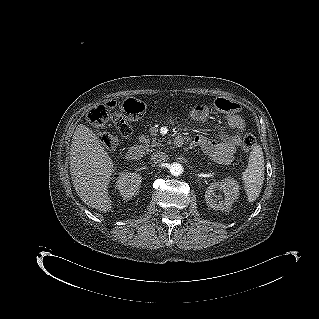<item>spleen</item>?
Here are the masks:
<instances>
[{"label": "spleen", "instance_id": "3e777b00", "mask_svg": "<svg viewBox=\"0 0 319 319\" xmlns=\"http://www.w3.org/2000/svg\"><path fill=\"white\" fill-rule=\"evenodd\" d=\"M264 156L260 145L254 144L248 166L242 174L248 200L253 202L259 196L264 181Z\"/></svg>", "mask_w": 319, "mask_h": 319}]
</instances>
